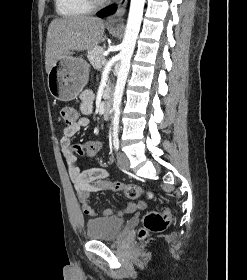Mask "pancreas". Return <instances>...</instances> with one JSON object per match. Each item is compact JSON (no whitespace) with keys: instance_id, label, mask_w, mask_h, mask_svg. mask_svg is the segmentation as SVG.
Listing matches in <instances>:
<instances>
[{"instance_id":"pancreas-1","label":"pancreas","mask_w":247,"mask_h":280,"mask_svg":"<svg viewBox=\"0 0 247 280\" xmlns=\"http://www.w3.org/2000/svg\"><path fill=\"white\" fill-rule=\"evenodd\" d=\"M103 53L104 48L99 46L94 47L88 52L87 58L95 69H99L103 65L102 61L105 60Z\"/></svg>"}]
</instances>
